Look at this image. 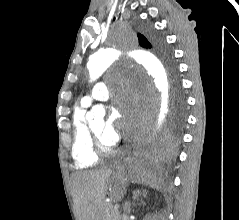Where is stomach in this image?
Returning <instances> with one entry per match:
<instances>
[{
  "label": "stomach",
  "instance_id": "stomach-1",
  "mask_svg": "<svg viewBox=\"0 0 239 220\" xmlns=\"http://www.w3.org/2000/svg\"><path fill=\"white\" fill-rule=\"evenodd\" d=\"M114 186H125L126 183H113ZM119 192H123V191H119ZM119 198V197H116Z\"/></svg>",
  "mask_w": 239,
  "mask_h": 220
}]
</instances>
